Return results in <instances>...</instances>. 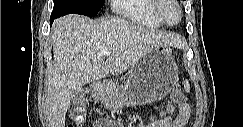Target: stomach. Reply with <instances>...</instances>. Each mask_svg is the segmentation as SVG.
<instances>
[{
  "label": "stomach",
  "instance_id": "obj_1",
  "mask_svg": "<svg viewBox=\"0 0 243 127\" xmlns=\"http://www.w3.org/2000/svg\"><path fill=\"white\" fill-rule=\"evenodd\" d=\"M177 80L178 66L171 48L163 46L146 53L134 64L126 82L96 84L94 92L107 108L118 110L164 98Z\"/></svg>",
  "mask_w": 243,
  "mask_h": 127
}]
</instances>
